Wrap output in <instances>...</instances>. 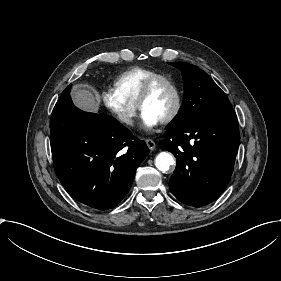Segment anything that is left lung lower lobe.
<instances>
[{"instance_id": "left-lung-lower-lobe-1", "label": "left lung lower lobe", "mask_w": 281, "mask_h": 281, "mask_svg": "<svg viewBox=\"0 0 281 281\" xmlns=\"http://www.w3.org/2000/svg\"><path fill=\"white\" fill-rule=\"evenodd\" d=\"M161 148L176 157L169 181L182 203L201 207L216 200L233 172L240 135L234 111L167 129Z\"/></svg>"}]
</instances>
